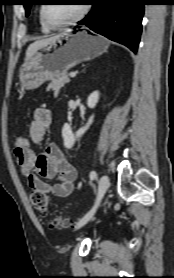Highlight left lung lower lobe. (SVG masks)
Segmentation results:
<instances>
[{
	"instance_id": "0a47b994",
	"label": "left lung lower lobe",
	"mask_w": 174,
	"mask_h": 278,
	"mask_svg": "<svg viewBox=\"0 0 174 278\" xmlns=\"http://www.w3.org/2000/svg\"><path fill=\"white\" fill-rule=\"evenodd\" d=\"M89 4L92 5V10L78 24L85 25L136 53L145 0H90Z\"/></svg>"
}]
</instances>
